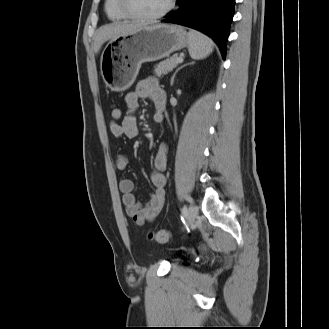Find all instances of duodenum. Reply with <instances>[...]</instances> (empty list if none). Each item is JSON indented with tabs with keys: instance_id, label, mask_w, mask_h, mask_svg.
<instances>
[{
	"instance_id": "obj_1",
	"label": "duodenum",
	"mask_w": 329,
	"mask_h": 329,
	"mask_svg": "<svg viewBox=\"0 0 329 329\" xmlns=\"http://www.w3.org/2000/svg\"><path fill=\"white\" fill-rule=\"evenodd\" d=\"M157 120H158V121H162V120H163V115H162V114L158 115V116H157Z\"/></svg>"
}]
</instances>
